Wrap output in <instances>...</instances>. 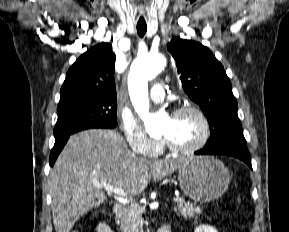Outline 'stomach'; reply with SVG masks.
<instances>
[{
  "instance_id": "0dacf381",
  "label": "stomach",
  "mask_w": 289,
  "mask_h": 232,
  "mask_svg": "<svg viewBox=\"0 0 289 232\" xmlns=\"http://www.w3.org/2000/svg\"><path fill=\"white\" fill-rule=\"evenodd\" d=\"M178 169L181 189L186 196L196 201L210 202L218 199L230 183L227 167L214 157H188Z\"/></svg>"
}]
</instances>
